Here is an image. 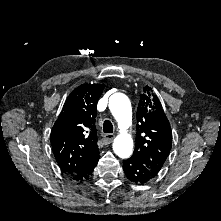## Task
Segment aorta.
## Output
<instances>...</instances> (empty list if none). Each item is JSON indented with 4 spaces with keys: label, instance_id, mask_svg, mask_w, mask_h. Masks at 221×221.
<instances>
[{
    "label": "aorta",
    "instance_id": "aorta-1",
    "mask_svg": "<svg viewBox=\"0 0 221 221\" xmlns=\"http://www.w3.org/2000/svg\"><path fill=\"white\" fill-rule=\"evenodd\" d=\"M109 108L121 131L114 139L113 151L121 158H128L133 151V140L124 129L130 126L132 120L130 100L122 93H115L109 99Z\"/></svg>",
    "mask_w": 221,
    "mask_h": 221
}]
</instances>
